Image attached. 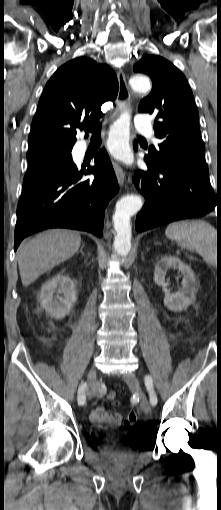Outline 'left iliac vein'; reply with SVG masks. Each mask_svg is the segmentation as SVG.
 Listing matches in <instances>:
<instances>
[{
    "mask_svg": "<svg viewBox=\"0 0 221 510\" xmlns=\"http://www.w3.org/2000/svg\"><path fill=\"white\" fill-rule=\"evenodd\" d=\"M123 379L130 387H132L139 394L140 407L142 411L145 413H149L151 411V406L146 395L139 386L138 377L134 373H127L124 375ZM153 392H155L154 387Z\"/></svg>",
    "mask_w": 221,
    "mask_h": 510,
    "instance_id": "1",
    "label": "left iliac vein"
}]
</instances>
